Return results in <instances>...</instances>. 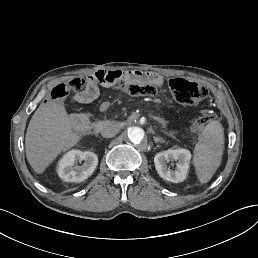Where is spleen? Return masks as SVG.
<instances>
[{
  "mask_svg": "<svg viewBox=\"0 0 258 258\" xmlns=\"http://www.w3.org/2000/svg\"><path fill=\"white\" fill-rule=\"evenodd\" d=\"M224 149V131L218 121L206 125L195 145L193 165L201 183H207L219 168Z\"/></svg>",
  "mask_w": 258,
  "mask_h": 258,
  "instance_id": "spleen-1",
  "label": "spleen"
}]
</instances>
